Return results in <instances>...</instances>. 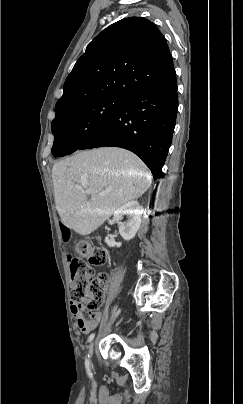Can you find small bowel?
I'll return each instance as SVG.
<instances>
[{
    "instance_id": "1",
    "label": "small bowel",
    "mask_w": 243,
    "mask_h": 404,
    "mask_svg": "<svg viewBox=\"0 0 243 404\" xmlns=\"http://www.w3.org/2000/svg\"><path fill=\"white\" fill-rule=\"evenodd\" d=\"M63 235L65 238L68 237V230L65 228L63 229ZM72 258L73 257L68 256L69 263H71ZM84 309H85V305L83 303H74L71 306V311H72L73 316L76 319L77 327L83 333H88L98 325L101 316H100V314H94L93 316H91L90 319H86L83 315Z\"/></svg>"
}]
</instances>
